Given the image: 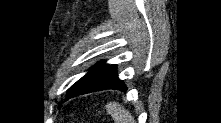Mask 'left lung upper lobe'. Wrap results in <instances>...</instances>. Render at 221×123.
<instances>
[{"label":"left lung upper lobe","instance_id":"1","mask_svg":"<svg viewBox=\"0 0 221 123\" xmlns=\"http://www.w3.org/2000/svg\"><path fill=\"white\" fill-rule=\"evenodd\" d=\"M107 64H103V62H99L95 67L91 68V70L83 76L80 80H78L70 89L68 97L80 87H82L88 80L94 77L97 73H99L102 69L107 67Z\"/></svg>","mask_w":221,"mask_h":123}]
</instances>
